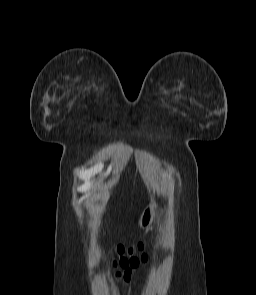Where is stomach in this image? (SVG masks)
Segmentation results:
<instances>
[{
    "label": "stomach",
    "mask_w": 256,
    "mask_h": 295,
    "mask_svg": "<svg viewBox=\"0 0 256 295\" xmlns=\"http://www.w3.org/2000/svg\"><path fill=\"white\" fill-rule=\"evenodd\" d=\"M155 217V204H150L147 208L142 212L138 225L142 228L148 227Z\"/></svg>",
    "instance_id": "stomach-1"
}]
</instances>
